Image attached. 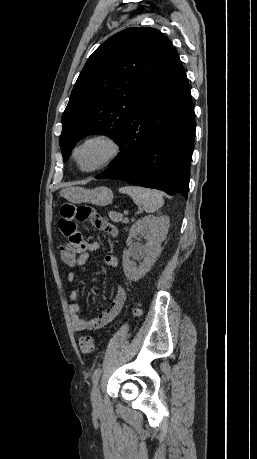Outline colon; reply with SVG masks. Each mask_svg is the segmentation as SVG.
I'll use <instances>...</instances> for the list:
<instances>
[{"label": "colon", "mask_w": 257, "mask_h": 459, "mask_svg": "<svg viewBox=\"0 0 257 459\" xmlns=\"http://www.w3.org/2000/svg\"><path fill=\"white\" fill-rule=\"evenodd\" d=\"M68 244H62L59 248L60 258L63 263L67 265L74 264L76 257L74 255V251H69ZM135 314L140 313L139 308H135ZM79 347L82 353L84 354H91L95 350V341L91 336H82L79 339Z\"/></svg>", "instance_id": "5ec220e1"}]
</instances>
